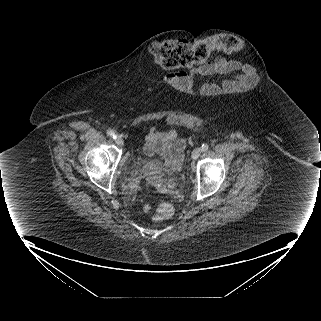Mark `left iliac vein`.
Listing matches in <instances>:
<instances>
[{
  "instance_id": "4c4485c4",
  "label": "left iliac vein",
  "mask_w": 321,
  "mask_h": 321,
  "mask_svg": "<svg viewBox=\"0 0 321 321\" xmlns=\"http://www.w3.org/2000/svg\"><path fill=\"white\" fill-rule=\"evenodd\" d=\"M201 151L202 150L200 148L194 149L193 152H192V155H191L192 159L193 160H197L199 158L200 154H201Z\"/></svg>"
}]
</instances>
